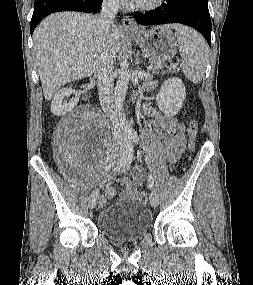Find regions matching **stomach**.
Listing matches in <instances>:
<instances>
[{"mask_svg": "<svg viewBox=\"0 0 253 285\" xmlns=\"http://www.w3.org/2000/svg\"><path fill=\"white\" fill-rule=\"evenodd\" d=\"M142 52L153 61L164 63L177 53V42L167 26H157L150 30L141 29L132 34Z\"/></svg>", "mask_w": 253, "mask_h": 285, "instance_id": "obj_1", "label": "stomach"}]
</instances>
